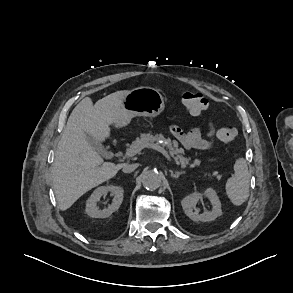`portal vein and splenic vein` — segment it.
<instances>
[{
	"label": "portal vein and splenic vein",
	"instance_id": "1",
	"mask_svg": "<svg viewBox=\"0 0 293 293\" xmlns=\"http://www.w3.org/2000/svg\"><path fill=\"white\" fill-rule=\"evenodd\" d=\"M145 147L159 151L160 153H162L166 157V159L168 161L171 162V158H170L168 152L163 147H161L158 144H151V143L146 144V145H137V146H133V147L129 148L127 150V152L125 153V157L126 158L132 157V156L136 155L137 153H139Z\"/></svg>",
	"mask_w": 293,
	"mask_h": 293
}]
</instances>
